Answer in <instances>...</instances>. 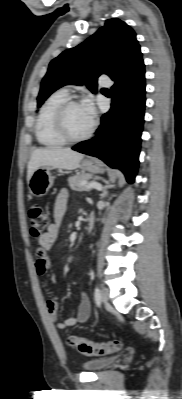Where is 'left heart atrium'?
Here are the masks:
<instances>
[{"label":"left heart atrium","instance_id":"left-heart-atrium-1","mask_svg":"<svg viewBox=\"0 0 182 399\" xmlns=\"http://www.w3.org/2000/svg\"><path fill=\"white\" fill-rule=\"evenodd\" d=\"M88 115L93 119L95 116V109L90 100H87L85 103L82 104Z\"/></svg>","mask_w":182,"mask_h":399}]
</instances>
